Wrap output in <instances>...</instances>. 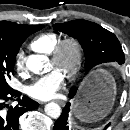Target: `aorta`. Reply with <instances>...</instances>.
<instances>
[{"instance_id": "aorta-1", "label": "aorta", "mask_w": 130, "mask_h": 130, "mask_svg": "<svg viewBox=\"0 0 130 130\" xmlns=\"http://www.w3.org/2000/svg\"><path fill=\"white\" fill-rule=\"evenodd\" d=\"M26 66L35 74H43L50 71V63L48 58L44 55L33 54L28 56ZM44 110L51 118H58L61 115V107L55 102L46 104Z\"/></svg>"}]
</instances>
